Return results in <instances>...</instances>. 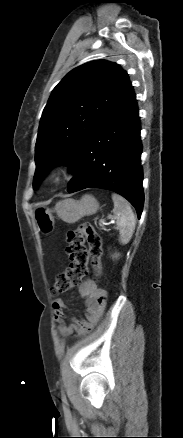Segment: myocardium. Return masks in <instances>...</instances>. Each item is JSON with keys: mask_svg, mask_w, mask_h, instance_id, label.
I'll return each mask as SVG.
<instances>
[{"mask_svg": "<svg viewBox=\"0 0 183 438\" xmlns=\"http://www.w3.org/2000/svg\"><path fill=\"white\" fill-rule=\"evenodd\" d=\"M67 176V171L64 168L55 169L49 176L51 184L58 185L64 181Z\"/></svg>", "mask_w": 183, "mask_h": 438, "instance_id": "myocardium-1", "label": "myocardium"}]
</instances>
